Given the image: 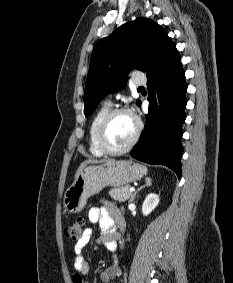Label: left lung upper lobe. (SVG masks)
<instances>
[{"label":"left lung upper lobe","mask_w":233,"mask_h":283,"mask_svg":"<svg viewBox=\"0 0 233 283\" xmlns=\"http://www.w3.org/2000/svg\"><path fill=\"white\" fill-rule=\"evenodd\" d=\"M174 45L160 25L143 17L102 38L90 60L84 93L85 116L91 115L107 94L123 88L129 71L136 67L148 74Z\"/></svg>","instance_id":"left-lung-upper-lobe-1"}]
</instances>
